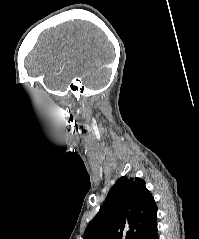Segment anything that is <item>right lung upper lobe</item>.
Segmentation results:
<instances>
[{
    "label": "right lung upper lobe",
    "mask_w": 199,
    "mask_h": 239,
    "mask_svg": "<svg viewBox=\"0 0 199 239\" xmlns=\"http://www.w3.org/2000/svg\"><path fill=\"white\" fill-rule=\"evenodd\" d=\"M157 216L154 198L139 178L118 179L83 239H136Z\"/></svg>",
    "instance_id": "cb5924a9"
}]
</instances>
